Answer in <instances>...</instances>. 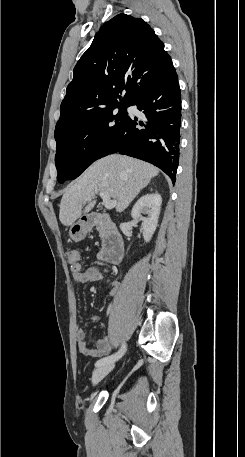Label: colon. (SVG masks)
I'll use <instances>...</instances> for the list:
<instances>
[{"instance_id":"obj_1","label":"colon","mask_w":245,"mask_h":457,"mask_svg":"<svg viewBox=\"0 0 245 457\" xmlns=\"http://www.w3.org/2000/svg\"><path fill=\"white\" fill-rule=\"evenodd\" d=\"M68 260L71 263L73 269L80 270L81 269V264H80V252L78 250H70L68 252Z\"/></svg>"}]
</instances>
